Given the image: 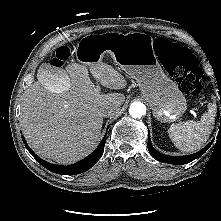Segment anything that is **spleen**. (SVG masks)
Listing matches in <instances>:
<instances>
[{
	"label": "spleen",
	"mask_w": 221,
	"mask_h": 221,
	"mask_svg": "<svg viewBox=\"0 0 221 221\" xmlns=\"http://www.w3.org/2000/svg\"><path fill=\"white\" fill-rule=\"evenodd\" d=\"M216 112L217 105L213 102L209 104L208 111L200 121L189 120L171 125L168 134L174 145L184 152L199 150L213 130Z\"/></svg>",
	"instance_id": "obj_1"
}]
</instances>
